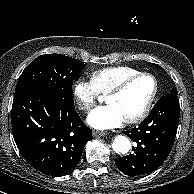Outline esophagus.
Listing matches in <instances>:
<instances>
[{
	"instance_id": "1",
	"label": "esophagus",
	"mask_w": 194,
	"mask_h": 194,
	"mask_svg": "<svg viewBox=\"0 0 194 194\" xmlns=\"http://www.w3.org/2000/svg\"><path fill=\"white\" fill-rule=\"evenodd\" d=\"M93 137H103L107 135V132L102 131H93L92 132Z\"/></svg>"
}]
</instances>
